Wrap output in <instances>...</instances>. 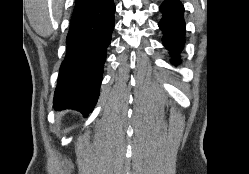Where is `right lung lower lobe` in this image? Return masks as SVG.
<instances>
[{
  "mask_svg": "<svg viewBox=\"0 0 249 174\" xmlns=\"http://www.w3.org/2000/svg\"><path fill=\"white\" fill-rule=\"evenodd\" d=\"M113 0H96L74 8L54 95L55 109L92 112L102 81L107 47L114 28Z\"/></svg>",
  "mask_w": 249,
  "mask_h": 174,
  "instance_id": "obj_1",
  "label": "right lung lower lobe"
}]
</instances>
